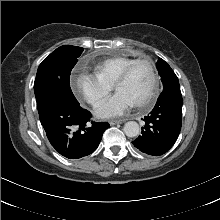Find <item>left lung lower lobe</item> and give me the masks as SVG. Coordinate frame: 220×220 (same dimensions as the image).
<instances>
[{"instance_id": "1", "label": "left lung lower lobe", "mask_w": 220, "mask_h": 220, "mask_svg": "<svg viewBox=\"0 0 220 220\" xmlns=\"http://www.w3.org/2000/svg\"><path fill=\"white\" fill-rule=\"evenodd\" d=\"M145 126L132 143L149 155H163L176 142L182 125V95L180 87L163 90L157 103L143 119Z\"/></svg>"}]
</instances>
